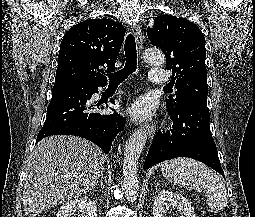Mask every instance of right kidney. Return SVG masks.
Instances as JSON below:
<instances>
[{
    "instance_id": "1",
    "label": "right kidney",
    "mask_w": 255,
    "mask_h": 217,
    "mask_svg": "<svg viewBox=\"0 0 255 217\" xmlns=\"http://www.w3.org/2000/svg\"><path fill=\"white\" fill-rule=\"evenodd\" d=\"M77 211L82 213L80 217H97L96 204L87 197L67 201L55 217H71Z\"/></svg>"
}]
</instances>
